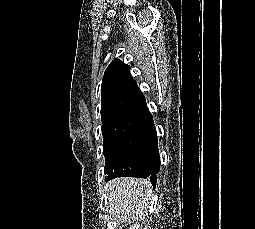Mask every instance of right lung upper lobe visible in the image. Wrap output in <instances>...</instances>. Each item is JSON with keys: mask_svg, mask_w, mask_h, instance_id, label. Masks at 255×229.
Returning a JSON list of instances; mask_svg holds the SVG:
<instances>
[{"mask_svg": "<svg viewBox=\"0 0 255 229\" xmlns=\"http://www.w3.org/2000/svg\"><path fill=\"white\" fill-rule=\"evenodd\" d=\"M101 97L102 124L146 104L130 67L118 59L113 60L104 73Z\"/></svg>", "mask_w": 255, "mask_h": 229, "instance_id": "1", "label": "right lung upper lobe"}]
</instances>
